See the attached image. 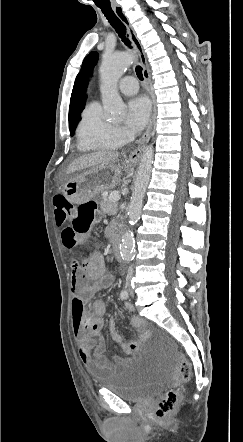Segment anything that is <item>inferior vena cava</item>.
Instances as JSON below:
<instances>
[{
  "label": "inferior vena cava",
  "mask_w": 243,
  "mask_h": 442,
  "mask_svg": "<svg viewBox=\"0 0 243 442\" xmlns=\"http://www.w3.org/2000/svg\"><path fill=\"white\" fill-rule=\"evenodd\" d=\"M132 275H133V266L131 265V266H129V268H128V274H127V278H131L132 277Z\"/></svg>",
  "instance_id": "1"
}]
</instances>
